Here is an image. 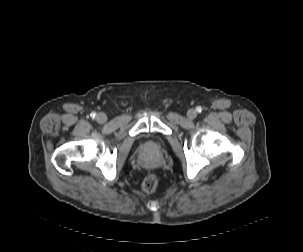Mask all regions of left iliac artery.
<instances>
[{"label":"left iliac artery","instance_id":"44dca946","mask_svg":"<svg viewBox=\"0 0 303 252\" xmlns=\"http://www.w3.org/2000/svg\"><path fill=\"white\" fill-rule=\"evenodd\" d=\"M196 111L200 113L202 111V108L201 107H197Z\"/></svg>","mask_w":303,"mask_h":252}]
</instances>
